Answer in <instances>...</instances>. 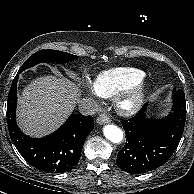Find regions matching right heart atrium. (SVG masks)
Wrapping results in <instances>:
<instances>
[{
    "instance_id": "right-heart-atrium-1",
    "label": "right heart atrium",
    "mask_w": 194,
    "mask_h": 194,
    "mask_svg": "<svg viewBox=\"0 0 194 194\" xmlns=\"http://www.w3.org/2000/svg\"><path fill=\"white\" fill-rule=\"evenodd\" d=\"M83 89L86 91V93L95 96L96 95V91L94 89V87H92L88 82H85L83 84Z\"/></svg>"
}]
</instances>
